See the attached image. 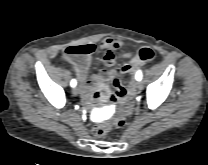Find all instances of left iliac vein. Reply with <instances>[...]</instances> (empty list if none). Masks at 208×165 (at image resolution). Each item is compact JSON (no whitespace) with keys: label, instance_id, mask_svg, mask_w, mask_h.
Wrapping results in <instances>:
<instances>
[{"label":"left iliac vein","instance_id":"obj_1","mask_svg":"<svg viewBox=\"0 0 208 165\" xmlns=\"http://www.w3.org/2000/svg\"><path fill=\"white\" fill-rule=\"evenodd\" d=\"M135 85L139 90L143 89V83L141 81H137Z\"/></svg>","mask_w":208,"mask_h":165}]
</instances>
